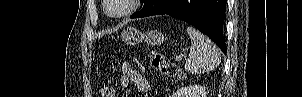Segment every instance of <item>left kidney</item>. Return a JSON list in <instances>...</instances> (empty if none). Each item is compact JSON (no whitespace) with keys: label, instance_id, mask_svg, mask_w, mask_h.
<instances>
[{"label":"left kidney","instance_id":"obj_1","mask_svg":"<svg viewBox=\"0 0 302 97\" xmlns=\"http://www.w3.org/2000/svg\"><path fill=\"white\" fill-rule=\"evenodd\" d=\"M172 97H206V88L199 85H189L177 90Z\"/></svg>","mask_w":302,"mask_h":97}]
</instances>
